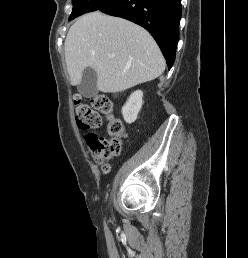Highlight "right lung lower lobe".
<instances>
[{
    "label": "right lung lower lobe",
    "instance_id": "obj_1",
    "mask_svg": "<svg viewBox=\"0 0 248 258\" xmlns=\"http://www.w3.org/2000/svg\"><path fill=\"white\" fill-rule=\"evenodd\" d=\"M100 11L145 28L159 45L170 69L175 61L181 0H113Z\"/></svg>",
    "mask_w": 248,
    "mask_h": 258
}]
</instances>
